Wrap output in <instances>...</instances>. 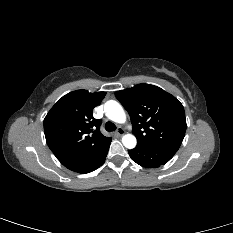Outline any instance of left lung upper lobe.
Returning a JSON list of instances; mask_svg holds the SVG:
<instances>
[{
  "mask_svg": "<svg viewBox=\"0 0 233 233\" xmlns=\"http://www.w3.org/2000/svg\"><path fill=\"white\" fill-rule=\"evenodd\" d=\"M115 96L130 115L137 143L180 147L187 125L184 108L174 96L150 84L117 91Z\"/></svg>",
  "mask_w": 233,
  "mask_h": 233,
  "instance_id": "left-lung-upper-lobe-1",
  "label": "left lung upper lobe"
}]
</instances>
